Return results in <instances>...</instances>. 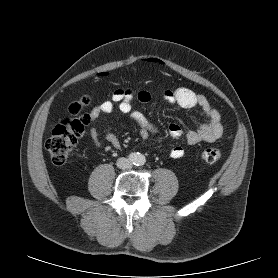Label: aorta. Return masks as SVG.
Listing matches in <instances>:
<instances>
[{
	"instance_id": "1",
	"label": "aorta",
	"mask_w": 278,
	"mask_h": 278,
	"mask_svg": "<svg viewBox=\"0 0 278 278\" xmlns=\"http://www.w3.org/2000/svg\"><path fill=\"white\" fill-rule=\"evenodd\" d=\"M132 162L134 165L140 166L146 162V158L141 153H135L134 156L132 157Z\"/></svg>"
}]
</instances>
